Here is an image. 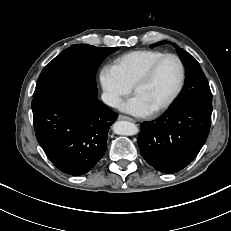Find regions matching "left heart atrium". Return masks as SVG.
<instances>
[{"label":"left heart atrium","instance_id":"39dd6f15","mask_svg":"<svg viewBox=\"0 0 231 231\" xmlns=\"http://www.w3.org/2000/svg\"><path fill=\"white\" fill-rule=\"evenodd\" d=\"M121 110L136 116H146L152 112V109L138 95H134L123 102Z\"/></svg>","mask_w":231,"mask_h":231}]
</instances>
